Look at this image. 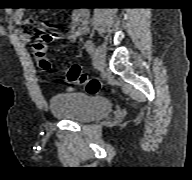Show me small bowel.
<instances>
[{
    "mask_svg": "<svg viewBox=\"0 0 192 180\" xmlns=\"http://www.w3.org/2000/svg\"><path fill=\"white\" fill-rule=\"evenodd\" d=\"M14 22L18 25L26 24L24 10H17L14 14ZM88 14L84 10H76L71 17V23L69 28V40L74 43L80 35L87 32ZM20 38L22 41L29 43L31 41V34L27 32H20Z\"/></svg>",
    "mask_w": 192,
    "mask_h": 180,
    "instance_id": "c3829d8e",
    "label": "small bowel"
}]
</instances>
